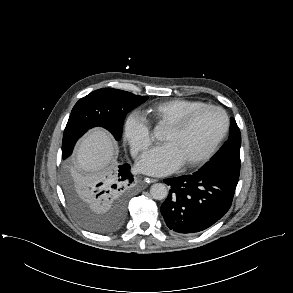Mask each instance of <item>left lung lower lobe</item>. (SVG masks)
<instances>
[{
    "mask_svg": "<svg viewBox=\"0 0 293 293\" xmlns=\"http://www.w3.org/2000/svg\"><path fill=\"white\" fill-rule=\"evenodd\" d=\"M171 186L161 213L167 226L181 234L205 230L229 210L238 180L213 170L166 179Z\"/></svg>",
    "mask_w": 293,
    "mask_h": 293,
    "instance_id": "left-lung-lower-lobe-1",
    "label": "left lung lower lobe"
}]
</instances>
